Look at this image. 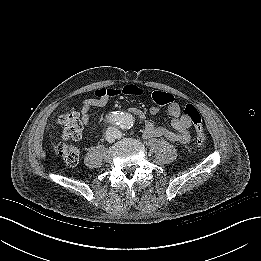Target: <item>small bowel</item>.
Listing matches in <instances>:
<instances>
[{
  "instance_id": "obj_1",
  "label": "small bowel",
  "mask_w": 261,
  "mask_h": 261,
  "mask_svg": "<svg viewBox=\"0 0 261 261\" xmlns=\"http://www.w3.org/2000/svg\"><path fill=\"white\" fill-rule=\"evenodd\" d=\"M106 103L107 98L105 97L88 98L83 100L80 106V115L83 124L88 125L90 111L93 107H102ZM158 110V106H152L150 108V113L156 114ZM167 111L171 116L170 124L172 129L164 125L156 126L153 122L145 119V113L143 111L134 110L139 119L144 120L145 135L147 137H163L179 144H187L191 137V120L185 114H181V108L174 100L167 104Z\"/></svg>"
}]
</instances>
